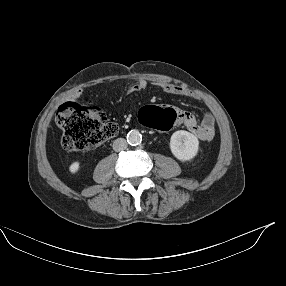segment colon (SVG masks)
Listing matches in <instances>:
<instances>
[{
	"label": "colon",
	"instance_id": "colon-1",
	"mask_svg": "<svg viewBox=\"0 0 286 286\" xmlns=\"http://www.w3.org/2000/svg\"><path fill=\"white\" fill-rule=\"evenodd\" d=\"M176 121V112L169 107L148 106L140 114V124L155 132H170ZM56 123L62 130L63 148L74 152L89 151L114 137L119 130L100 106H82L72 101L58 107Z\"/></svg>",
	"mask_w": 286,
	"mask_h": 286
}]
</instances>
